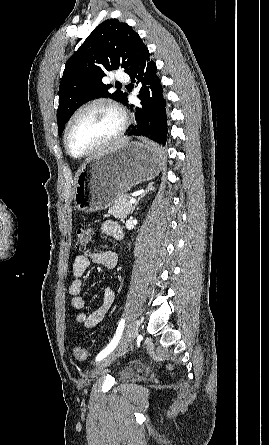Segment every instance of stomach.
<instances>
[{"instance_id": "obj_1", "label": "stomach", "mask_w": 269, "mask_h": 445, "mask_svg": "<svg viewBox=\"0 0 269 445\" xmlns=\"http://www.w3.org/2000/svg\"><path fill=\"white\" fill-rule=\"evenodd\" d=\"M163 164V153L147 141L127 142L115 150L102 151L76 176L75 207L82 212L104 210L132 187L153 179Z\"/></svg>"}]
</instances>
